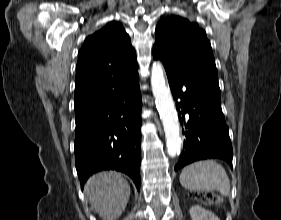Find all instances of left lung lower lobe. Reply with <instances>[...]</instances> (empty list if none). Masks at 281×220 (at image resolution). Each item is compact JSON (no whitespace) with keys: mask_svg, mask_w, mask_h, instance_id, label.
I'll list each match as a JSON object with an SVG mask.
<instances>
[{"mask_svg":"<svg viewBox=\"0 0 281 220\" xmlns=\"http://www.w3.org/2000/svg\"><path fill=\"white\" fill-rule=\"evenodd\" d=\"M166 73L174 99H181L176 105L183 121L184 148L175 171L208 158H220L232 166L233 150L220 91L191 75Z\"/></svg>","mask_w":281,"mask_h":220,"instance_id":"1","label":"left lung lower lobe"}]
</instances>
